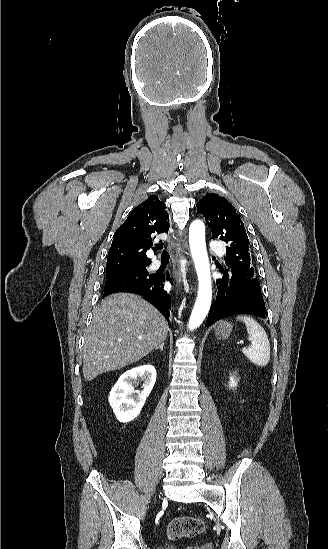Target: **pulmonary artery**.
Here are the masks:
<instances>
[{"label": "pulmonary artery", "instance_id": "pulmonary-artery-1", "mask_svg": "<svg viewBox=\"0 0 328 549\" xmlns=\"http://www.w3.org/2000/svg\"><path fill=\"white\" fill-rule=\"evenodd\" d=\"M160 265V261L156 258L151 259L150 267L157 268Z\"/></svg>", "mask_w": 328, "mask_h": 549}]
</instances>
